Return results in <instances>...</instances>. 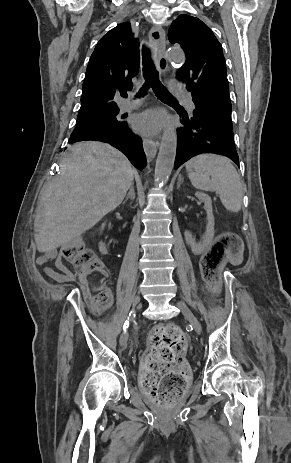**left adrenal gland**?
<instances>
[{
  "instance_id": "left-adrenal-gland-1",
  "label": "left adrenal gland",
  "mask_w": 291,
  "mask_h": 463,
  "mask_svg": "<svg viewBox=\"0 0 291 463\" xmlns=\"http://www.w3.org/2000/svg\"><path fill=\"white\" fill-rule=\"evenodd\" d=\"M182 182H183V178L181 177V175H179V179H178V182H177V189L180 188Z\"/></svg>"
}]
</instances>
